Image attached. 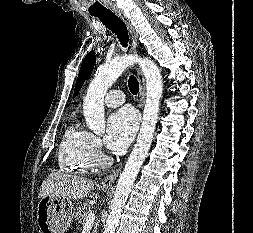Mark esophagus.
I'll use <instances>...</instances> for the list:
<instances>
[{
	"label": "esophagus",
	"instance_id": "34e87169",
	"mask_svg": "<svg viewBox=\"0 0 253 233\" xmlns=\"http://www.w3.org/2000/svg\"><path fill=\"white\" fill-rule=\"evenodd\" d=\"M127 26L131 37H132V48L136 49L138 47V34L135 31L134 27L132 26L130 20L125 16V14L121 11H115L114 12ZM137 75H138V81H139V97H138V104L140 108H143L144 102H145V78L143 76V73L139 68H137ZM122 164H120L115 170H113L110 174H108L102 181L101 185L104 187L112 186V184L115 182L117 177L120 174V171L122 169Z\"/></svg>",
	"mask_w": 253,
	"mask_h": 233
}]
</instances>
